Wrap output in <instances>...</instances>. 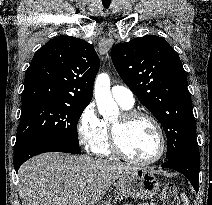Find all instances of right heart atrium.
<instances>
[{
	"label": "right heart atrium",
	"mask_w": 212,
	"mask_h": 205,
	"mask_svg": "<svg viewBox=\"0 0 212 205\" xmlns=\"http://www.w3.org/2000/svg\"><path fill=\"white\" fill-rule=\"evenodd\" d=\"M101 133V119L97 115L93 103H89L81 111L76 124L78 142L85 149L91 148L98 141Z\"/></svg>",
	"instance_id": "right-heart-atrium-1"
}]
</instances>
